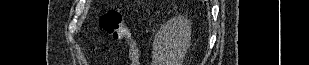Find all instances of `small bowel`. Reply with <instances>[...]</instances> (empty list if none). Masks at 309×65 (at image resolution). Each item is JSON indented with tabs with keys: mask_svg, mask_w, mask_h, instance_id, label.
I'll return each instance as SVG.
<instances>
[{
	"mask_svg": "<svg viewBox=\"0 0 309 65\" xmlns=\"http://www.w3.org/2000/svg\"><path fill=\"white\" fill-rule=\"evenodd\" d=\"M129 57H130L132 65H138L139 52L133 40L129 41Z\"/></svg>",
	"mask_w": 309,
	"mask_h": 65,
	"instance_id": "obj_1",
	"label": "small bowel"
}]
</instances>
